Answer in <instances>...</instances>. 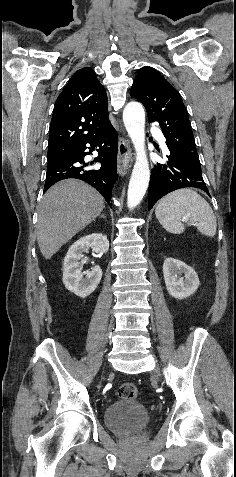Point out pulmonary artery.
<instances>
[{"label":"pulmonary artery","mask_w":236,"mask_h":477,"mask_svg":"<svg viewBox=\"0 0 236 477\" xmlns=\"http://www.w3.org/2000/svg\"><path fill=\"white\" fill-rule=\"evenodd\" d=\"M155 136L164 145V147H166L164 137L160 135L159 133H156Z\"/></svg>","instance_id":"pulmonary-artery-1"}]
</instances>
